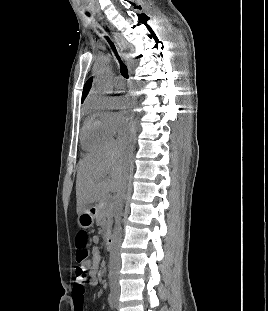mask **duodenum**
Masks as SVG:
<instances>
[{"label": "duodenum", "instance_id": "duodenum-1", "mask_svg": "<svg viewBox=\"0 0 268 311\" xmlns=\"http://www.w3.org/2000/svg\"><path fill=\"white\" fill-rule=\"evenodd\" d=\"M105 246L108 250H112L113 247H114V238L113 236L109 235L106 237V240H105Z\"/></svg>", "mask_w": 268, "mask_h": 311}]
</instances>
